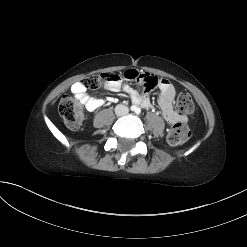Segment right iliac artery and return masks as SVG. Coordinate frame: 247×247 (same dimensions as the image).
Returning <instances> with one entry per match:
<instances>
[{"label":"right iliac artery","instance_id":"1","mask_svg":"<svg viewBox=\"0 0 247 247\" xmlns=\"http://www.w3.org/2000/svg\"><path fill=\"white\" fill-rule=\"evenodd\" d=\"M131 110L132 111H135L136 110V107L135 106H131Z\"/></svg>","mask_w":247,"mask_h":247}]
</instances>
